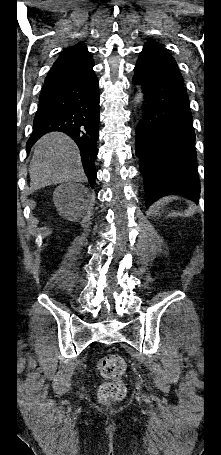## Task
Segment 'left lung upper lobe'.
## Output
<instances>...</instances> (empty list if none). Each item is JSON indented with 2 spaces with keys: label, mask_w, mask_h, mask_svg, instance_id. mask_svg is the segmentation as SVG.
Returning a JSON list of instances; mask_svg holds the SVG:
<instances>
[{
  "label": "left lung upper lobe",
  "mask_w": 221,
  "mask_h": 455,
  "mask_svg": "<svg viewBox=\"0 0 221 455\" xmlns=\"http://www.w3.org/2000/svg\"><path fill=\"white\" fill-rule=\"evenodd\" d=\"M136 65L142 69L161 72L183 84V78L174 58L153 41L145 43Z\"/></svg>",
  "instance_id": "obj_1"
}]
</instances>
